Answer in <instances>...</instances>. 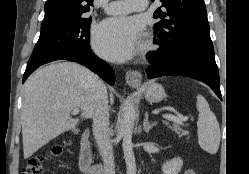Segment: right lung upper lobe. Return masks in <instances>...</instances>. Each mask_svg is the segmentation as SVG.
I'll return each mask as SVG.
<instances>
[{"instance_id":"cb5924a9","label":"right lung upper lobe","mask_w":249,"mask_h":174,"mask_svg":"<svg viewBox=\"0 0 249 174\" xmlns=\"http://www.w3.org/2000/svg\"><path fill=\"white\" fill-rule=\"evenodd\" d=\"M93 6V0H47L42 26L84 18Z\"/></svg>"}]
</instances>
